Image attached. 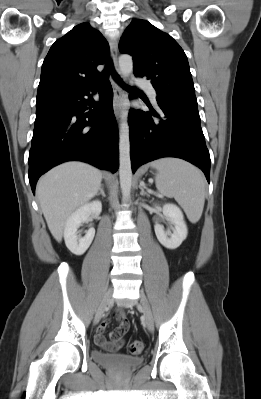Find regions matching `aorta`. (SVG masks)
<instances>
[{
  "label": "aorta",
  "instance_id": "762f6f07",
  "mask_svg": "<svg viewBox=\"0 0 261 399\" xmlns=\"http://www.w3.org/2000/svg\"><path fill=\"white\" fill-rule=\"evenodd\" d=\"M119 68L123 78L128 77L133 71L132 57L128 54L121 55L119 57ZM119 177L123 199L129 201L132 186V169L127 110L122 112L119 130Z\"/></svg>",
  "mask_w": 261,
  "mask_h": 399
}]
</instances>
